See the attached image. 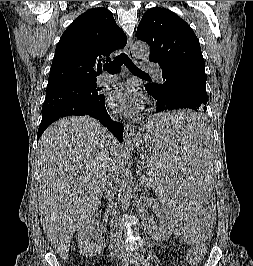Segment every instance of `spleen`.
I'll use <instances>...</instances> for the list:
<instances>
[{"mask_svg":"<svg viewBox=\"0 0 253 266\" xmlns=\"http://www.w3.org/2000/svg\"><path fill=\"white\" fill-rule=\"evenodd\" d=\"M200 111H164L151 117L154 145L141 165L151 198L162 204L180 248H207L217 235L211 184L215 178L208 123Z\"/></svg>","mask_w":253,"mask_h":266,"instance_id":"1","label":"spleen"}]
</instances>
